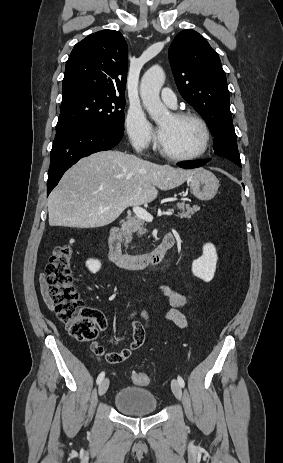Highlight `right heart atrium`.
Returning a JSON list of instances; mask_svg holds the SVG:
<instances>
[{
	"label": "right heart atrium",
	"instance_id": "1",
	"mask_svg": "<svg viewBox=\"0 0 283 463\" xmlns=\"http://www.w3.org/2000/svg\"><path fill=\"white\" fill-rule=\"evenodd\" d=\"M125 127L128 139L135 148L146 150L151 146L152 128L141 109L137 107L129 109Z\"/></svg>",
	"mask_w": 283,
	"mask_h": 463
}]
</instances>
